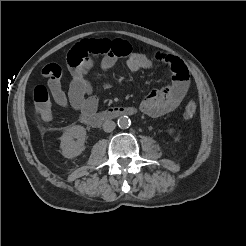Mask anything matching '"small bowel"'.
Listing matches in <instances>:
<instances>
[{
	"label": "small bowel",
	"instance_id": "1",
	"mask_svg": "<svg viewBox=\"0 0 246 246\" xmlns=\"http://www.w3.org/2000/svg\"><path fill=\"white\" fill-rule=\"evenodd\" d=\"M120 58L127 59L128 68L133 71L153 70L155 62H162L170 68L171 77L160 89L148 93L140 103V110L152 117H159L174 111L184 100L189 89V74L186 65L178 57L156 52L154 60L133 51L131 45L121 39H89L77 43L67 56L71 76L70 87L66 94L61 87L62 70L58 64L50 63L42 69L48 79V88L55 103L70 107L82 114L93 113L98 108L99 99L93 92L88 74L95 61H99L103 72L109 71ZM104 83V88H109Z\"/></svg>",
	"mask_w": 246,
	"mask_h": 246
}]
</instances>
